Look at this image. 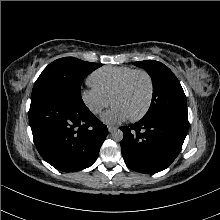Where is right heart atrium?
I'll list each match as a JSON object with an SVG mask.
<instances>
[{
    "label": "right heart atrium",
    "mask_w": 220,
    "mask_h": 220,
    "mask_svg": "<svg viewBox=\"0 0 220 220\" xmlns=\"http://www.w3.org/2000/svg\"><path fill=\"white\" fill-rule=\"evenodd\" d=\"M80 96L85 107L94 115L101 113L110 104V98L93 86L83 89Z\"/></svg>",
    "instance_id": "right-heart-atrium-1"
}]
</instances>
